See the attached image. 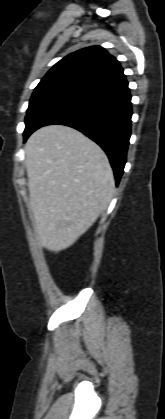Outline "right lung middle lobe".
Returning <instances> with one entry per match:
<instances>
[{
	"instance_id": "obj_1",
	"label": "right lung middle lobe",
	"mask_w": 165,
	"mask_h": 419,
	"mask_svg": "<svg viewBox=\"0 0 165 419\" xmlns=\"http://www.w3.org/2000/svg\"><path fill=\"white\" fill-rule=\"evenodd\" d=\"M82 95L79 91L62 87L35 89L25 117L24 140L43 117Z\"/></svg>"
}]
</instances>
